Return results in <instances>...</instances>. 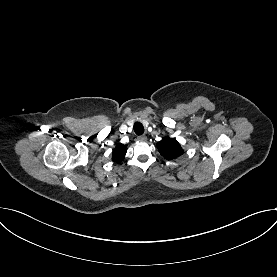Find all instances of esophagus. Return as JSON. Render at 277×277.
Instances as JSON below:
<instances>
[{"instance_id": "esophagus-1", "label": "esophagus", "mask_w": 277, "mask_h": 277, "mask_svg": "<svg viewBox=\"0 0 277 277\" xmlns=\"http://www.w3.org/2000/svg\"><path fill=\"white\" fill-rule=\"evenodd\" d=\"M137 139H138L139 141H146V140H147V137H146L145 135H140V136L137 137Z\"/></svg>"}]
</instances>
